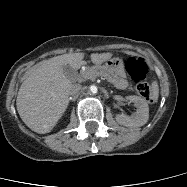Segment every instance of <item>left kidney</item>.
Returning <instances> with one entry per match:
<instances>
[{"mask_svg":"<svg viewBox=\"0 0 187 187\" xmlns=\"http://www.w3.org/2000/svg\"><path fill=\"white\" fill-rule=\"evenodd\" d=\"M127 99L135 104L137 110L131 117L123 114L117 115V122L127 127L143 126L149 118V108L146 100L139 96H129Z\"/></svg>","mask_w":187,"mask_h":187,"instance_id":"obj_1","label":"left kidney"}]
</instances>
